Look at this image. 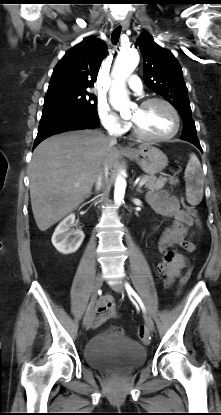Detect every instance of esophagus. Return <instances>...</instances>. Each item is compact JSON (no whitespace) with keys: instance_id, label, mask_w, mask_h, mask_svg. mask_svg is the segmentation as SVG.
Here are the masks:
<instances>
[{"instance_id":"34e87169","label":"esophagus","mask_w":221,"mask_h":415,"mask_svg":"<svg viewBox=\"0 0 221 415\" xmlns=\"http://www.w3.org/2000/svg\"><path fill=\"white\" fill-rule=\"evenodd\" d=\"M120 26L122 27L123 30H126L129 27V21L128 20H122L120 22ZM122 150L124 151H128V148H123Z\"/></svg>"}]
</instances>
